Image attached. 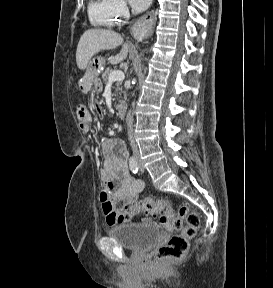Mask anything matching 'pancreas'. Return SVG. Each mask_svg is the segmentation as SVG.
I'll return each instance as SVG.
<instances>
[{
    "label": "pancreas",
    "instance_id": "pancreas-1",
    "mask_svg": "<svg viewBox=\"0 0 273 288\" xmlns=\"http://www.w3.org/2000/svg\"><path fill=\"white\" fill-rule=\"evenodd\" d=\"M114 70L111 69V68H107L104 73L102 74V79H103V82L105 84H107L109 81V75L113 72ZM113 89L115 90V92L113 93L114 96L116 97H119V95H121L120 93V90H121V83L120 82H117L115 84V86L113 87ZM117 99V98H116Z\"/></svg>",
    "mask_w": 273,
    "mask_h": 288
}]
</instances>
